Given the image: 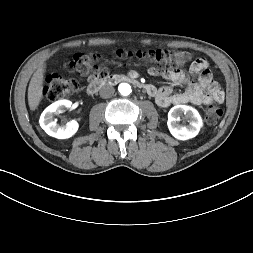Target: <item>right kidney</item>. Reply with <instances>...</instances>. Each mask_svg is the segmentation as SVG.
Listing matches in <instances>:
<instances>
[{
	"mask_svg": "<svg viewBox=\"0 0 253 253\" xmlns=\"http://www.w3.org/2000/svg\"><path fill=\"white\" fill-rule=\"evenodd\" d=\"M69 100H58L49 105L41 114L39 123L42 129L50 136L58 139H67L73 136L79 127L76 120L69 121L65 125L57 124L54 115L61 113L64 109L72 108Z\"/></svg>",
	"mask_w": 253,
	"mask_h": 253,
	"instance_id": "1",
	"label": "right kidney"
}]
</instances>
